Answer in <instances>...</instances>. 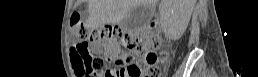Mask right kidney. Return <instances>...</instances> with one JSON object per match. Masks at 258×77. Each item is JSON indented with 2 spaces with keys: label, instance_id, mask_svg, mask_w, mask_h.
<instances>
[{
  "label": "right kidney",
  "instance_id": "ca27d5eb",
  "mask_svg": "<svg viewBox=\"0 0 258 77\" xmlns=\"http://www.w3.org/2000/svg\"><path fill=\"white\" fill-rule=\"evenodd\" d=\"M162 9L164 11L169 9V12H170L169 18L171 21L166 25L167 35L169 36L170 39L178 40L183 35L187 25L183 26V24L178 19H175L173 17L174 10H175L173 7L164 5L162 6Z\"/></svg>",
  "mask_w": 258,
  "mask_h": 77
}]
</instances>
